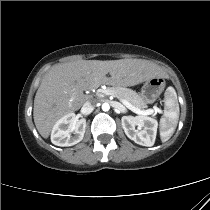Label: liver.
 Listing matches in <instances>:
<instances>
[{"mask_svg": "<svg viewBox=\"0 0 210 210\" xmlns=\"http://www.w3.org/2000/svg\"><path fill=\"white\" fill-rule=\"evenodd\" d=\"M161 75L158 66L142 59L78 60L56 65L45 74L36 92L35 126L48 138L57 120L79 110L88 100L85 90L100 84L134 86Z\"/></svg>", "mask_w": 210, "mask_h": 210, "instance_id": "1", "label": "liver"}]
</instances>
